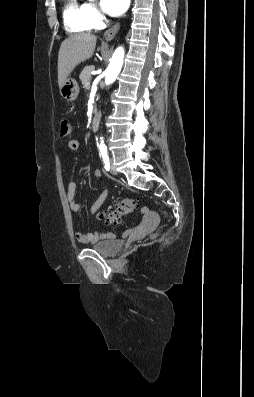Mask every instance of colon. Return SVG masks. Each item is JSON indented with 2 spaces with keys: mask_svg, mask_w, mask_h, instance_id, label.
Instances as JSON below:
<instances>
[{
  "mask_svg": "<svg viewBox=\"0 0 254 397\" xmlns=\"http://www.w3.org/2000/svg\"><path fill=\"white\" fill-rule=\"evenodd\" d=\"M60 136L66 137L71 132V125L68 120L62 119L60 122ZM139 208V202L134 198H125L120 201L115 209H112L103 215V220L107 224H117L122 217L132 212H135Z\"/></svg>",
  "mask_w": 254,
  "mask_h": 397,
  "instance_id": "colon-1",
  "label": "colon"
}]
</instances>
